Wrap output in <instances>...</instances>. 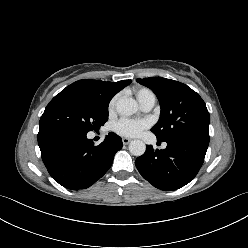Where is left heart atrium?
Masks as SVG:
<instances>
[{
    "instance_id": "1",
    "label": "left heart atrium",
    "mask_w": 248,
    "mask_h": 248,
    "mask_svg": "<svg viewBox=\"0 0 248 248\" xmlns=\"http://www.w3.org/2000/svg\"><path fill=\"white\" fill-rule=\"evenodd\" d=\"M148 127V123L142 119H128L122 118L114 124V130L122 135L128 137H136Z\"/></svg>"
}]
</instances>
